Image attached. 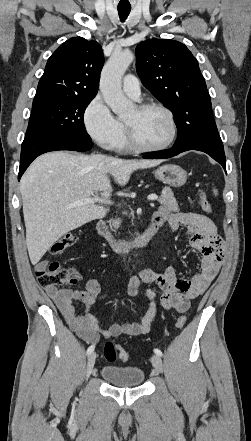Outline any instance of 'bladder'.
<instances>
[{"label": "bladder", "instance_id": "1", "mask_svg": "<svg viewBox=\"0 0 251 441\" xmlns=\"http://www.w3.org/2000/svg\"><path fill=\"white\" fill-rule=\"evenodd\" d=\"M101 377L116 387H136L143 384L145 373L138 367L105 365L101 369Z\"/></svg>", "mask_w": 251, "mask_h": 441}]
</instances>
